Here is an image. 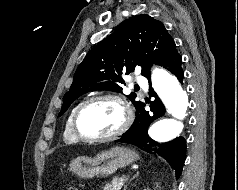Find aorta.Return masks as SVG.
I'll use <instances>...</instances> for the list:
<instances>
[{
  "label": "aorta",
  "instance_id": "obj_1",
  "mask_svg": "<svg viewBox=\"0 0 238 190\" xmlns=\"http://www.w3.org/2000/svg\"><path fill=\"white\" fill-rule=\"evenodd\" d=\"M152 85L171 117L158 119L149 130V136L159 143L175 139L183 129L182 120L188 109V95L178 79L163 69L152 72Z\"/></svg>",
  "mask_w": 238,
  "mask_h": 190
}]
</instances>
